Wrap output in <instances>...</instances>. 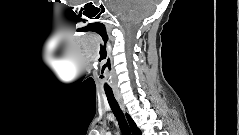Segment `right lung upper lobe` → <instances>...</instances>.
I'll return each instance as SVG.
<instances>
[{
    "label": "right lung upper lobe",
    "mask_w": 239,
    "mask_h": 135,
    "mask_svg": "<svg viewBox=\"0 0 239 135\" xmlns=\"http://www.w3.org/2000/svg\"><path fill=\"white\" fill-rule=\"evenodd\" d=\"M126 116H127L129 125H130V127H131V129H132L133 135H141L140 129L136 126V124H135V122L132 120V118H131L128 114H126Z\"/></svg>",
    "instance_id": "right-lung-upper-lobe-1"
}]
</instances>
